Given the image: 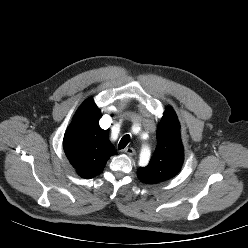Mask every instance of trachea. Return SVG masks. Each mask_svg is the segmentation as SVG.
<instances>
[{"instance_id": "obj_1", "label": "trachea", "mask_w": 248, "mask_h": 248, "mask_svg": "<svg viewBox=\"0 0 248 248\" xmlns=\"http://www.w3.org/2000/svg\"><path fill=\"white\" fill-rule=\"evenodd\" d=\"M130 142V135L126 134L124 135L118 145L119 150L124 149L128 143Z\"/></svg>"}]
</instances>
